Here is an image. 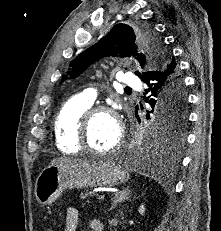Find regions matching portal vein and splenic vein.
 <instances>
[{
	"instance_id": "portal-vein-and-splenic-vein-1",
	"label": "portal vein and splenic vein",
	"mask_w": 221,
	"mask_h": 231,
	"mask_svg": "<svg viewBox=\"0 0 221 231\" xmlns=\"http://www.w3.org/2000/svg\"><path fill=\"white\" fill-rule=\"evenodd\" d=\"M104 198H105V195H103V194L98 195L99 200H104Z\"/></svg>"
}]
</instances>
